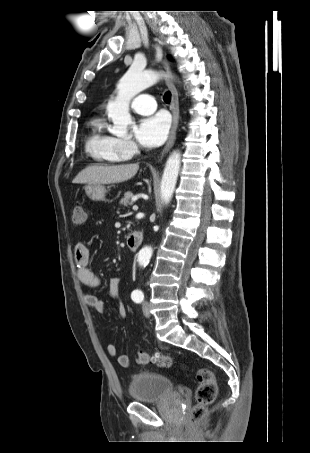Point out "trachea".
Wrapping results in <instances>:
<instances>
[{
  "label": "trachea",
  "instance_id": "obj_1",
  "mask_svg": "<svg viewBox=\"0 0 310 453\" xmlns=\"http://www.w3.org/2000/svg\"><path fill=\"white\" fill-rule=\"evenodd\" d=\"M163 99H164V101H165L166 103H170V101H171V92H170V91L166 92V93L164 94Z\"/></svg>",
  "mask_w": 310,
  "mask_h": 453
}]
</instances>
